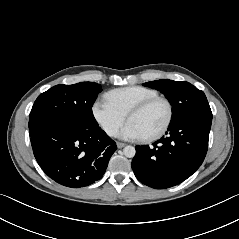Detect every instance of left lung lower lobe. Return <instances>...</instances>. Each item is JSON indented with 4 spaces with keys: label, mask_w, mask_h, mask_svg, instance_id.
<instances>
[{
    "label": "left lung lower lobe",
    "mask_w": 239,
    "mask_h": 239,
    "mask_svg": "<svg viewBox=\"0 0 239 239\" xmlns=\"http://www.w3.org/2000/svg\"><path fill=\"white\" fill-rule=\"evenodd\" d=\"M212 113H197L171 122L153 146H136L132 169L137 179L155 189L175 186L202 164L208 148Z\"/></svg>",
    "instance_id": "obj_1"
}]
</instances>
